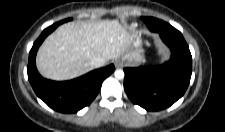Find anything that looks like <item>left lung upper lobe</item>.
<instances>
[{"instance_id":"left-lung-upper-lobe-1","label":"left lung upper lobe","mask_w":225,"mask_h":132,"mask_svg":"<svg viewBox=\"0 0 225 132\" xmlns=\"http://www.w3.org/2000/svg\"><path fill=\"white\" fill-rule=\"evenodd\" d=\"M142 20H143L145 23H146V21H147V20L145 19V17H142Z\"/></svg>"}]
</instances>
